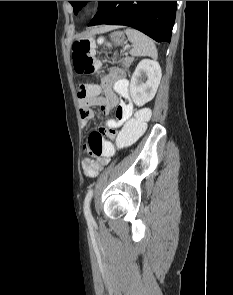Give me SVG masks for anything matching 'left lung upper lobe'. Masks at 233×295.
<instances>
[{"label":"left lung upper lobe","mask_w":233,"mask_h":295,"mask_svg":"<svg viewBox=\"0 0 233 295\" xmlns=\"http://www.w3.org/2000/svg\"><path fill=\"white\" fill-rule=\"evenodd\" d=\"M73 6L74 13L77 14L78 11L88 2V1H69ZM101 2V1H100Z\"/></svg>","instance_id":"1"}]
</instances>
